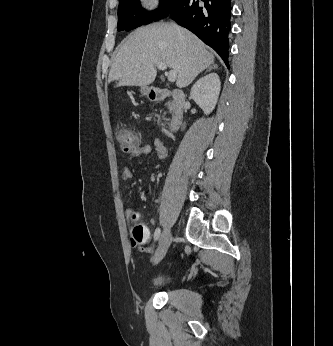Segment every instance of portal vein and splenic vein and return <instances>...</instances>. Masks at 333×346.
<instances>
[{
	"label": "portal vein and splenic vein",
	"mask_w": 333,
	"mask_h": 346,
	"mask_svg": "<svg viewBox=\"0 0 333 346\" xmlns=\"http://www.w3.org/2000/svg\"><path fill=\"white\" fill-rule=\"evenodd\" d=\"M157 68L160 69V70H166L167 69V66L166 64L162 63V62H159L157 63ZM165 75L167 76V79L169 82H174L177 78V73L173 70L169 71V72H165Z\"/></svg>",
	"instance_id": "obj_1"
}]
</instances>
